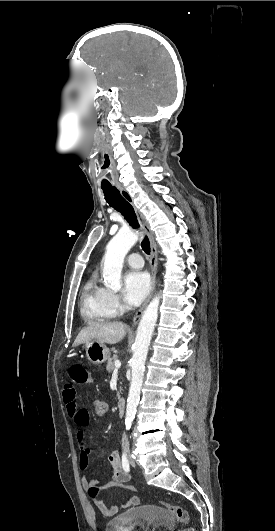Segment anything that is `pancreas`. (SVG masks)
Masks as SVG:
<instances>
[{
	"label": "pancreas",
	"instance_id": "cf45deb5",
	"mask_svg": "<svg viewBox=\"0 0 275 531\" xmlns=\"http://www.w3.org/2000/svg\"><path fill=\"white\" fill-rule=\"evenodd\" d=\"M115 361H118L117 355H113L112 359H108L107 365H106V371H108V373H111V371H114V363H115ZM120 391H121V389H120Z\"/></svg>",
	"mask_w": 275,
	"mask_h": 531
}]
</instances>
